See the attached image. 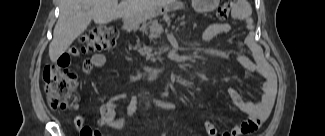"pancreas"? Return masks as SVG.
Here are the masks:
<instances>
[{"label":"pancreas","mask_w":325,"mask_h":136,"mask_svg":"<svg viewBox=\"0 0 325 136\" xmlns=\"http://www.w3.org/2000/svg\"><path fill=\"white\" fill-rule=\"evenodd\" d=\"M167 17L164 19H151L150 23H147L145 22L143 25H142V28L139 29V32L144 34V37L145 38H151L152 36H154V34L152 33H147L149 30V26L153 27L154 25H156L155 23L157 22L159 25L160 24H177L179 22V19L183 18L185 15L181 12H168Z\"/></svg>","instance_id":"cf45deb5"}]
</instances>
